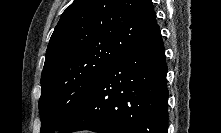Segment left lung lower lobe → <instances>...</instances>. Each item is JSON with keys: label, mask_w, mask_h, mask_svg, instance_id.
<instances>
[{"label": "left lung lower lobe", "mask_w": 221, "mask_h": 133, "mask_svg": "<svg viewBox=\"0 0 221 133\" xmlns=\"http://www.w3.org/2000/svg\"><path fill=\"white\" fill-rule=\"evenodd\" d=\"M166 75L164 45L155 25L108 66L59 133H167Z\"/></svg>", "instance_id": "0a47b994"}]
</instances>
